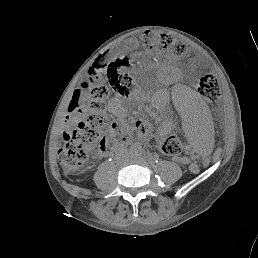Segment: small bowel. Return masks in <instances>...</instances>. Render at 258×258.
I'll return each mask as SVG.
<instances>
[{"label": "small bowel", "instance_id": "1", "mask_svg": "<svg viewBox=\"0 0 258 258\" xmlns=\"http://www.w3.org/2000/svg\"><path fill=\"white\" fill-rule=\"evenodd\" d=\"M136 45H137V41L135 39H132L128 42L126 48L132 49V48L136 47ZM178 160H180L181 162H184V163H187L189 161V159L186 157L178 158Z\"/></svg>", "mask_w": 258, "mask_h": 258}]
</instances>
